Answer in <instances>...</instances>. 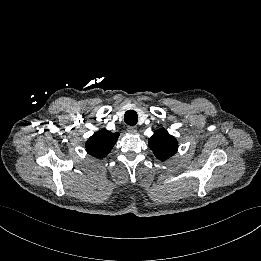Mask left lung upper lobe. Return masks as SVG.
<instances>
[{
	"instance_id": "5c2ea615",
	"label": "left lung upper lobe",
	"mask_w": 261,
	"mask_h": 261,
	"mask_svg": "<svg viewBox=\"0 0 261 261\" xmlns=\"http://www.w3.org/2000/svg\"><path fill=\"white\" fill-rule=\"evenodd\" d=\"M148 144L154 155L160 160H167L177 152L178 142L165 129H158L149 138Z\"/></svg>"
}]
</instances>
